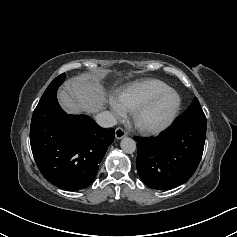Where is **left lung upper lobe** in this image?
I'll return each instance as SVG.
<instances>
[{
  "instance_id": "1",
  "label": "left lung upper lobe",
  "mask_w": 237,
  "mask_h": 237,
  "mask_svg": "<svg viewBox=\"0 0 237 237\" xmlns=\"http://www.w3.org/2000/svg\"><path fill=\"white\" fill-rule=\"evenodd\" d=\"M176 124H193L206 126V117L201 109L198 99L195 97L188 109L181 114L175 121Z\"/></svg>"
}]
</instances>
